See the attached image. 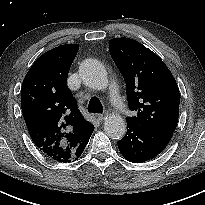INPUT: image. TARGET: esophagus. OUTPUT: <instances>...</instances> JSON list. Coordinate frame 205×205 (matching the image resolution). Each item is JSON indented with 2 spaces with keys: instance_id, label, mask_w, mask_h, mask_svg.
Wrapping results in <instances>:
<instances>
[{
  "instance_id": "obj_1",
  "label": "esophagus",
  "mask_w": 205,
  "mask_h": 205,
  "mask_svg": "<svg viewBox=\"0 0 205 205\" xmlns=\"http://www.w3.org/2000/svg\"><path fill=\"white\" fill-rule=\"evenodd\" d=\"M106 116H107V112H104V113H101V114H97V119L99 121H103Z\"/></svg>"
}]
</instances>
